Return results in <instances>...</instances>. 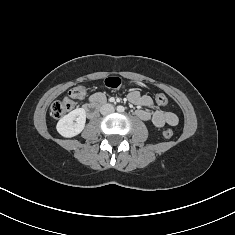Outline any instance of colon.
Returning <instances> with one entry per match:
<instances>
[{"mask_svg": "<svg viewBox=\"0 0 235 235\" xmlns=\"http://www.w3.org/2000/svg\"><path fill=\"white\" fill-rule=\"evenodd\" d=\"M105 85L114 90L121 89L123 87V83L118 77H109L105 80ZM86 95V87L82 84L73 87L68 96L63 98L62 100L55 101L50 108V113L54 118H61L75 107V101L81 100ZM155 101L158 106L165 107L168 104V99L163 94H158L155 97ZM163 137L171 138L174 134L173 129L166 128L162 132Z\"/></svg>", "mask_w": 235, "mask_h": 235, "instance_id": "5ec220e1", "label": "colon"}]
</instances>
